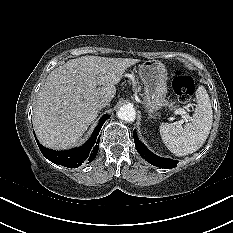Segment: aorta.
<instances>
[{
  "instance_id": "762f6f07",
  "label": "aorta",
  "mask_w": 233,
  "mask_h": 233,
  "mask_svg": "<svg viewBox=\"0 0 233 233\" xmlns=\"http://www.w3.org/2000/svg\"><path fill=\"white\" fill-rule=\"evenodd\" d=\"M117 116L126 122H133L136 118V111L132 105H123L117 111Z\"/></svg>"
}]
</instances>
